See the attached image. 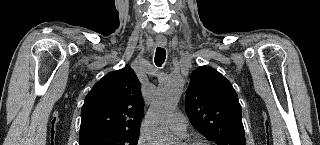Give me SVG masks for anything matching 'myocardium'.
<instances>
[{
  "instance_id": "obj_1",
  "label": "myocardium",
  "mask_w": 320,
  "mask_h": 145,
  "mask_svg": "<svg viewBox=\"0 0 320 145\" xmlns=\"http://www.w3.org/2000/svg\"><path fill=\"white\" fill-rule=\"evenodd\" d=\"M183 145H209V144L203 140H189V141H186Z\"/></svg>"
}]
</instances>
